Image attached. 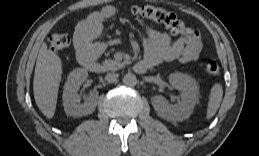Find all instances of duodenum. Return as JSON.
<instances>
[{"label":"duodenum","instance_id":"obj_1","mask_svg":"<svg viewBox=\"0 0 259 156\" xmlns=\"http://www.w3.org/2000/svg\"><path fill=\"white\" fill-rule=\"evenodd\" d=\"M81 59V62L83 64V66L91 71V72H94V73H99L102 71V66L101 64L91 55L89 54H84L83 56L80 57ZM149 65L146 64L145 62L143 61H140L138 63L135 64L134 66V70L137 72V73H144L146 72V70L148 69Z\"/></svg>","mask_w":259,"mask_h":156}]
</instances>
